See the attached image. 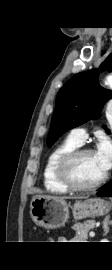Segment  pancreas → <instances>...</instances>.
Masks as SVG:
<instances>
[{
  "label": "pancreas",
  "mask_w": 112,
  "mask_h": 270,
  "mask_svg": "<svg viewBox=\"0 0 112 270\" xmlns=\"http://www.w3.org/2000/svg\"><path fill=\"white\" fill-rule=\"evenodd\" d=\"M95 222L93 220H86L83 223H76L73 225V229L76 231V236L83 239H88V233L94 227Z\"/></svg>",
  "instance_id": "cf45deb5"
}]
</instances>
